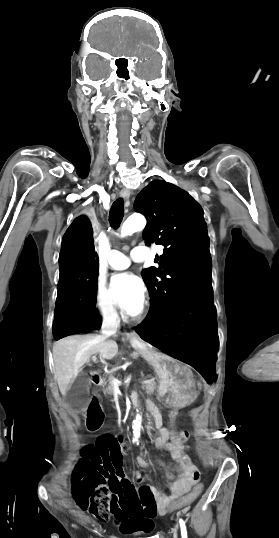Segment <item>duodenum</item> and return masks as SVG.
<instances>
[{
    "instance_id": "1",
    "label": "duodenum",
    "mask_w": 279,
    "mask_h": 538,
    "mask_svg": "<svg viewBox=\"0 0 279 538\" xmlns=\"http://www.w3.org/2000/svg\"><path fill=\"white\" fill-rule=\"evenodd\" d=\"M89 378L94 385V387H99V385H103L105 378L103 376V371L100 366H91L89 369ZM134 400H137V397H134ZM129 401V406H139V401ZM144 400H149V397H144ZM148 406H150L149 409H147V414L149 415H158L160 414V409L157 404H153V401H148ZM141 409H144V406H141ZM121 417H125V414H121Z\"/></svg>"
}]
</instances>
